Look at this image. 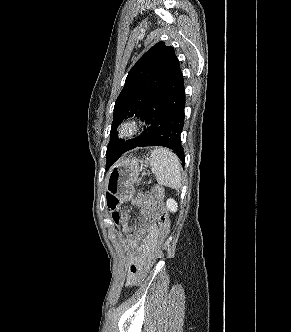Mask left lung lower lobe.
<instances>
[{
    "mask_svg": "<svg viewBox=\"0 0 291 332\" xmlns=\"http://www.w3.org/2000/svg\"><path fill=\"white\" fill-rule=\"evenodd\" d=\"M185 87L180 66L163 90L151 101L142 121L147 128L141 135L128 141L107 162L109 168L120 155L136 147L163 146L176 152L184 163L185 155L181 145V132L184 126Z\"/></svg>",
    "mask_w": 291,
    "mask_h": 332,
    "instance_id": "0a47b994",
    "label": "left lung lower lobe"
}]
</instances>
